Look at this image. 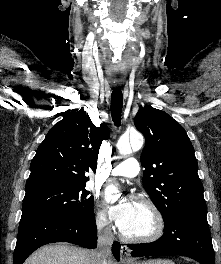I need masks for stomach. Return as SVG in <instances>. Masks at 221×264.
Masks as SVG:
<instances>
[{"label":"stomach","instance_id":"stomach-1","mask_svg":"<svg viewBox=\"0 0 221 264\" xmlns=\"http://www.w3.org/2000/svg\"><path fill=\"white\" fill-rule=\"evenodd\" d=\"M136 264H175V263L170 260L154 259V260H148L144 262H138Z\"/></svg>","mask_w":221,"mask_h":264}]
</instances>
